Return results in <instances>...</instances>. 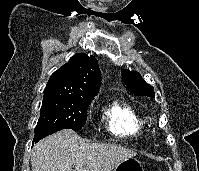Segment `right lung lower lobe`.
<instances>
[{"label":"right lung lower lobe","mask_w":199,"mask_h":171,"mask_svg":"<svg viewBox=\"0 0 199 171\" xmlns=\"http://www.w3.org/2000/svg\"><path fill=\"white\" fill-rule=\"evenodd\" d=\"M54 132H57L56 130H53V131H46L42 134H40L39 136H34V139H33V144L34 143H37L40 139L44 138L45 136H48L50 134H53Z\"/></svg>","instance_id":"right-lung-lower-lobe-1"}]
</instances>
